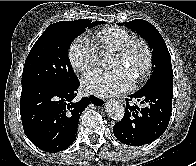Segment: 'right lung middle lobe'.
Returning a JSON list of instances; mask_svg holds the SVG:
<instances>
[{
	"label": "right lung middle lobe",
	"instance_id": "right-lung-middle-lobe-1",
	"mask_svg": "<svg viewBox=\"0 0 196 166\" xmlns=\"http://www.w3.org/2000/svg\"><path fill=\"white\" fill-rule=\"evenodd\" d=\"M104 23L80 19L50 25L35 42L26 58L22 84L42 81L68 86L78 81L68 59L69 45L86 28Z\"/></svg>",
	"mask_w": 196,
	"mask_h": 166
}]
</instances>
